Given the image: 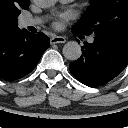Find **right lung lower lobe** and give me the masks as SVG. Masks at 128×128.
Listing matches in <instances>:
<instances>
[{"instance_id": "98d812e1", "label": "right lung lower lobe", "mask_w": 128, "mask_h": 128, "mask_svg": "<svg viewBox=\"0 0 128 128\" xmlns=\"http://www.w3.org/2000/svg\"><path fill=\"white\" fill-rule=\"evenodd\" d=\"M49 47V38L43 33L18 29L0 36V78L13 81L29 74Z\"/></svg>"}]
</instances>
